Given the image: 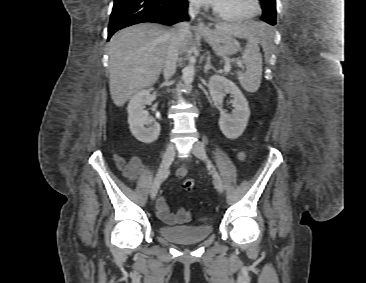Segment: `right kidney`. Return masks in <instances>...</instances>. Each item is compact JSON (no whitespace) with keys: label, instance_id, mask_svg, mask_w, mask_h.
Listing matches in <instances>:
<instances>
[{"label":"right kidney","instance_id":"ca27d5eb","mask_svg":"<svg viewBox=\"0 0 366 283\" xmlns=\"http://www.w3.org/2000/svg\"><path fill=\"white\" fill-rule=\"evenodd\" d=\"M153 89H145L136 93L127 107L128 123L133 136L140 142L153 143L160 134L161 127L154 118L150 117L144 110L146 105H151ZM145 125L149 126L148 128Z\"/></svg>","mask_w":366,"mask_h":283}]
</instances>
